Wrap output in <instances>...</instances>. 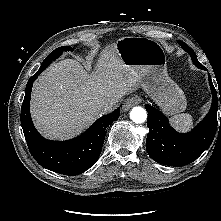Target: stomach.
<instances>
[{"label": "stomach", "mask_w": 221, "mask_h": 221, "mask_svg": "<svg viewBox=\"0 0 221 221\" xmlns=\"http://www.w3.org/2000/svg\"><path fill=\"white\" fill-rule=\"evenodd\" d=\"M115 46L123 63L137 73L140 87L165 113L173 115L185 110L184 93L169 78L166 54L157 41L146 37H123Z\"/></svg>", "instance_id": "stomach-1"}]
</instances>
